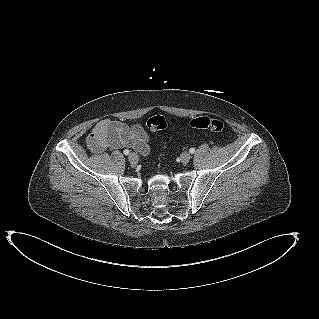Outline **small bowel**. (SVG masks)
Wrapping results in <instances>:
<instances>
[{"mask_svg":"<svg viewBox=\"0 0 319 319\" xmlns=\"http://www.w3.org/2000/svg\"><path fill=\"white\" fill-rule=\"evenodd\" d=\"M87 143L93 153L121 148H132L142 155L151 151L150 136L142 125H127L114 119L99 121L89 134Z\"/></svg>","mask_w":319,"mask_h":319,"instance_id":"small-bowel-1","label":"small bowel"}]
</instances>
